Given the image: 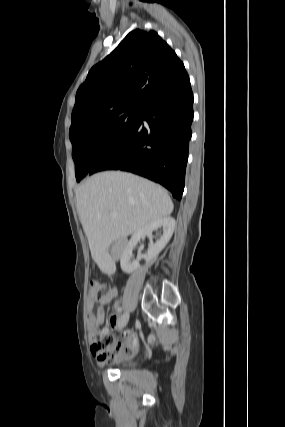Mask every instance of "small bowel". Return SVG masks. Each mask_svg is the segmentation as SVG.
I'll list each match as a JSON object with an SVG mask.
<instances>
[{
	"label": "small bowel",
	"mask_w": 285,
	"mask_h": 427,
	"mask_svg": "<svg viewBox=\"0 0 285 427\" xmlns=\"http://www.w3.org/2000/svg\"><path fill=\"white\" fill-rule=\"evenodd\" d=\"M117 294V288L112 287L110 288L109 292L101 299L100 304L104 305L108 303L113 297H115ZM114 310L115 313L111 314L109 316V324L112 328H117L119 325V315L118 312L120 311V304L119 302H115L114 304ZM105 321V313L103 308L100 306L98 307L97 311L94 310V303L93 301H88V313H87V325L89 330H92L94 328H98L101 326ZM132 334H127V340L123 343L120 342H114L112 351L114 352V358L111 360H104L99 357V355L94 351L92 346V353L97 358L99 363L107 362H118L124 357L125 348L130 345V341L132 339Z\"/></svg>",
	"instance_id": "small-bowel-1"
}]
</instances>
